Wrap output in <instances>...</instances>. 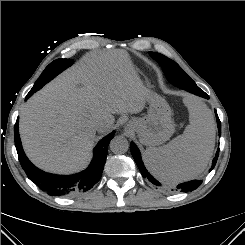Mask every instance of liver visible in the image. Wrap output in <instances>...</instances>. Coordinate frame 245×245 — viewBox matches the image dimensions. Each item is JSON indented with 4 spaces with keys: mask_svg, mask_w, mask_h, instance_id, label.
<instances>
[{
    "mask_svg": "<svg viewBox=\"0 0 245 245\" xmlns=\"http://www.w3.org/2000/svg\"><path fill=\"white\" fill-rule=\"evenodd\" d=\"M149 95L125 51L93 54L24 105L19 124L24 150L46 171L75 172L87 163L96 131H109L113 114L141 112ZM98 122L105 125L97 129Z\"/></svg>",
    "mask_w": 245,
    "mask_h": 245,
    "instance_id": "obj_1",
    "label": "liver"
}]
</instances>
